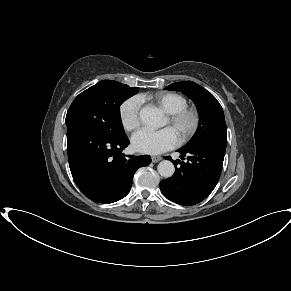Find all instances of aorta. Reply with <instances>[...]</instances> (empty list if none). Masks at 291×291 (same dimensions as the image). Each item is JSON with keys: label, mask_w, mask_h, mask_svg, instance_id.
Listing matches in <instances>:
<instances>
[{"label": "aorta", "mask_w": 291, "mask_h": 291, "mask_svg": "<svg viewBox=\"0 0 291 291\" xmlns=\"http://www.w3.org/2000/svg\"><path fill=\"white\" fill-rule=\"evenodd\" d=\"M141 122L148 128H159L163 123V116L158 108L152 106H145L139 112ZM158 173L164 178H170L174 172L175 167L169 160H163L158 164Z\"/></svg>", "instance_id": "1"}]
</instances>
